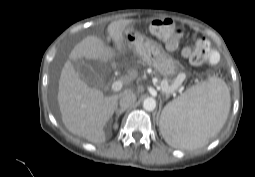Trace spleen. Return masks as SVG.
Listing matches in <instances>:
<instances>
[{
	"mask_svg": "<svg viewBox=\"0 0 255 177\" xmlns=\"http://www.w3.org/2000/svg\"><path fill=\"white\" fill-rule=\"evenodd\" d=\"M230 105L226 83L211 77L165 106L160 118L161 133L173 147H201L221 130Z\"/></svg>",
	"mask_w": 255,
	"mask_h": 177,
	"instance_id": "obj_1",
	"label": "spleen"
}]
</instances>
